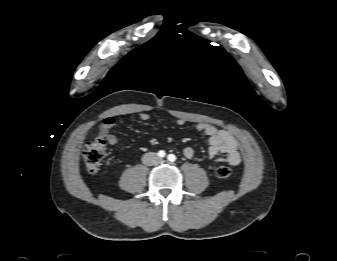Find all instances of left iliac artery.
Instances as JSON below:
<instances>
[{
    "mask_svg": "<svg viewBox=\"0 0 337 261\" xmlns=\"http://www.w3.org/2000/svg\"><path fill=\"white\" fill-rule=\"evenodd\" d=\"M167 159L170 161V162H174L176 160V156L174 154H169Z\"/></svg>",
    "mask_w": 337,
    "mask_h": 261,
    "instance_id": "left-iliac-artery-1",
    "label": "left iliac artery"
}]
</instances>
